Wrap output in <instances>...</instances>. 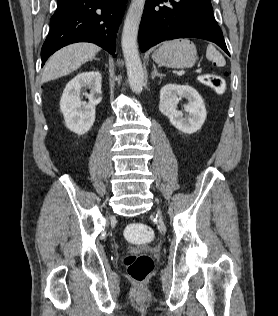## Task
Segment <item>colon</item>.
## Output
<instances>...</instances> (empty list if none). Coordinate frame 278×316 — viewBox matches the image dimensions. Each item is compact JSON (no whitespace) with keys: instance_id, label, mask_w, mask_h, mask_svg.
Instances as JSON below:
<instances>
[{"instance_id":"5ec220e1","label":"colon","mask_w":278,"mask_h":316,"mask_svg":"<svg viewBox=\"0 0 278 316\" xmlns=\"http://www.w3.org/2000/svg\"><path fill=\"white\" fill-rule=\"evenodd\" d=\"M201 82L217 94H223L226 89L224 77L218 74H205ZM126 239L136 244H146L153 240V230L143 223H131L124 231ZM129 277L136 283H144L154 269V261L147 254H129L123 259Z\"/></svg>"}]
</instances>
